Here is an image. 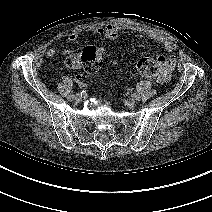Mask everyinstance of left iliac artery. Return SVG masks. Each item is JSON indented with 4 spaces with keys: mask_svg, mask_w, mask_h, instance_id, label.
<instances>
[{
    "mask_svg": "<svg viewBox=\"0 0 212 212\" xmlns=\"http://www.w3.org/2000/svg\"><path fill=\"white\" fill-rule=\"evenodd\" d=\"M132 97L136 100V101H140V96L137 94H132Z\"/></svg>",
    "mask_w": 212,
    "mask_h": 212,
    "instance_id": "44dca946",
    "label": "left iliac artery"
}]
</instances>
